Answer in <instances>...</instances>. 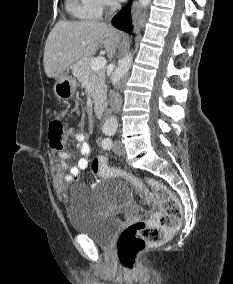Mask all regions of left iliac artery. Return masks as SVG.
<instances>
[{
	"mask_svg": "<svg viewBox=\"0 0 233 284\" xmlns=\"http://www.w3.org/2000/svg\"><path fill=\"white\" fill-rule=\"evenodd\" d=\"M104 133L109 136L108 138H105L103 141H102V147L104 149H111L112 146H113V142H112V139L110 138L111 136H114L115 134V130L114 129H108V130H104Z\"/></svg>",
	"mask_w": 233,
	"mask_h": 284,
	"instance_id": "1",
	"label": "left iliac artery"
}]
</instances>
